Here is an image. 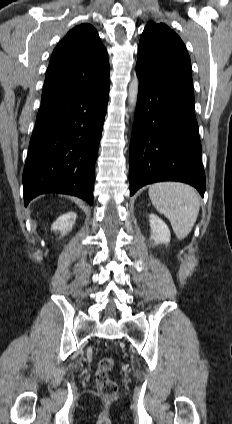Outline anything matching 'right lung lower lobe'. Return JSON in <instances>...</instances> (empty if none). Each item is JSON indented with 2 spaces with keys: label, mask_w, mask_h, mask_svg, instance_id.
<instances>
[{
  "label": "right lung lower lobe",
  "mask_w": 232,
  "mask_h": 424,
  "mask_svg": "<svg viewBox=\"0 0 232 424\" xmlns=\"http://www.w3.org/2000/svg\"><path fill=\"white\" fill-rule=\"evenodd\" d=\"M109 83L41 101L23 171L24 204L57 192L92 205L95 162Z\"/></svg>",
  "instance_id": "98d812e1"
}]
</instances>
